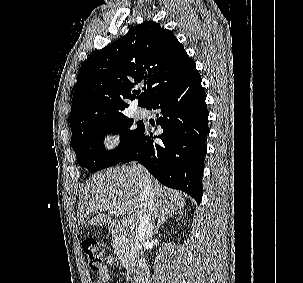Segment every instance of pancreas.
I'll return each mask as SVG.
<instances>
[{"mask_svg": "<svg viewBox=\"0 0 303 283\" xmlns=\"http://www.w3.org/2000/svg\"><path fill=\"white\" fill-rule=\"evenodd\" d=\"M113 247L122 265L126 268H132L135 264L137 246L133 239L125 233L119 235L113 241Z\"/></svg>", "mask_w": 303, "mask_h": 283, "instance_id": "cf45deb5", "label": "pancreas"}]
</instances>
